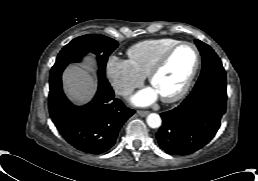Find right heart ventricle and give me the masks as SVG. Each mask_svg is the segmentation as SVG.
Here are the masks:
<instances>
[{
  "mask_svg": "<svg viewBox=\"0 0 258 181\" xmlns=\"http://www.w3.org/2000/svg\"><path fill=\"white\" fill-rule=\"evenodd\" d=\"M179 40L173 38L149 39L131 46L128 51V62L142 76H148L158 58Z\"/></svg>",
  "mask_w": 258,
  "mask_h": 181,
  "instance_id": "right-heart-ventricle-1",
  "label": "right heart ventricle"
}]
</instances>
